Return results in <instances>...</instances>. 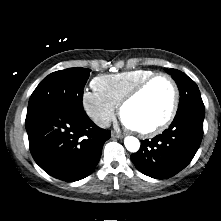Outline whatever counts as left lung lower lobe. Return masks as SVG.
<instances>
[{
	"label": "left lung lower lobe",
	"instance_id": "left-lung-lower-lobe-1",
	"mask_svg": "<svg viewBox=\"0 0 221 221\" xmlns=\"http://www.w3.org/2000/svg\"><path fill=\"white\" fill-rule=\"evenodd\" d=\"M204 106L177 111L170 127L151 140H143L131 160L143 174L166 179L184 169L196 154L203 136Z\"/></svg>",
	"mask_w": 221,
	"mask_h": 221
}]
</instances>
